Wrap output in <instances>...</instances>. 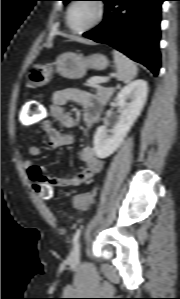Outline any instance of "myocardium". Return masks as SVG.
Segmentation results:
<instances>
[{"label":"myocardium","mask_w":180,"mask_h":299,"mask_svg":"<svg viewBox=\"0 0 180 299\" xmlns=\"http://www.w3.org/2000/svg\"><path fill=\"white\" fill-rule=\"evenodd\" d=\"M80 1H83V0H74L68 7L67 9V12H66V17H65V21H66V25L68 27V29L73 32V33H76V34H82V33H85L97 26H99L105 19V16H106V12H107V7H106V4L103 0H87L89 2H93V4L95 5L96 9H97V14H96V17L95 19L90 23L88 24L87 26L81 28V29H75L71 26L70 24V13L73 9V7L79 3Z\"/></svg>","instance_id":"myocardium-1"}]
</instances>
